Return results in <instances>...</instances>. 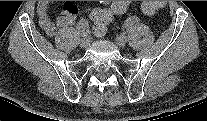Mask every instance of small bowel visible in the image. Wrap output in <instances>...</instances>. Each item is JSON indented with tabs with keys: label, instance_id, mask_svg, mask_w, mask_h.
<instances>
[{
	"label": "small bowel",
	"instance_id": "obj_1",
	"mask_svg": "<svg viewBox=\"0 0 207 121\" xmlns=\"http://www.w3.org/2000/svg\"><path fill=\"white\" fill-rule=\"evenodd\" d=\"M48 7V1H40L37 5V15L39 19V24L48 36H54L57 33L58 29L68 27L74 24L77 14V7L73 2H67L65 4L64 11L55 20H52L49 17Z\"/></svg>",
	"mask_w": 207,
	"mask_h": 121
}]
</instances>
